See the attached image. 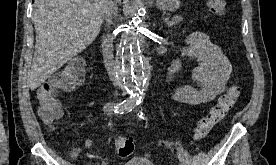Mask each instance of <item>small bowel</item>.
Masks as SVG:
<instances>
[{"label": "small bowel", "mask_w": 276, "mask_h": 165, "mask_svg": "<svg viewBox=\"0 0 276 165\" xmlns=\"http://www.w3.org/2000/svg\"><path fill=\"white\" fill-rule=\"evenodd\" d=\"M182 57L195 59L198 63L193 70L194 84L176 87L173 90L174 100L190 105H199L214 100L222 94L229 83L232 66L222 49L203 32H193L186 40L181 57L171 63L167 80L180 68ZM90 147L91 141H85Z\"/></svg>", "instance_id": "c3829d8e"}]
</instances>
